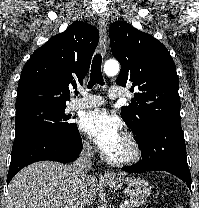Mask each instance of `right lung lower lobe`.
<instances>
[{
  "instance_id": "98d812e1",
  "label": "right lung lower lobe",
  "mask_w": 199,
  "mask_h": 208,
  "mask_svg": "<svg viewBox=\"0 0 199 208\" xmlns=\"http://www.w3.org/2000/svg\"><path fill=\"white\" fill-rule=\"evenodd\" d=\"M78 128L56 136L45 131H28L15 137L7 184L23 167L43 160L68 163L76 160L82 150Z\"/></svg>"
}]
</instances>
